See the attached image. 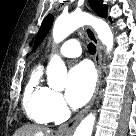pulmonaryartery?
Listing matches in <instances>:
<instances>
[{
  "label": "pulmonary artery",
  "mask_w": 136,
  "mask_h": 136,
  "mask_svg": "<svg viewBox=\"0 0 136 136\" xmlns=\"http://www.w3.org/2000/svg\"><path fill=\"white\" fill-rule=\"evenodd\" d=\"M59 53L64 57H78L81 54L80 42L76 39H70L62 44Z\"/></svg>",
  "instance_id": "e3ab8cb5"
}]
</instances>
